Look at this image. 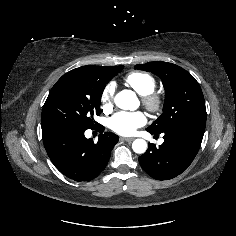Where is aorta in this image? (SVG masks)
<instances>
[{
  "label": "aorta",
  "instance_id": "762f6f07",
  "mask_svg": "<svg viewBox=\"0 0 236 236\" xmlns=\"http://www.w3.org/2000/svg\"><path fill=\"white\" fill-rule=\"evenodd\" d=\"M133 98L131 91L123 90L115 96L114 102L119 108L127 109ZM132 149L137 154H143L147 150V142L144 139H135L132 143Z\"/></svg>",
  "mask_w": 236,
  "mask_h": 236
}]
</instances>
